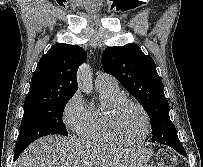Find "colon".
<instances>
[{
  "instance_id": "obj_1",
  "label": "colon",
  "mask_w": 203,
  "mask_h": 167,
  "mask_svg": "<svg viewBox=\"0 0 203 167\" xmlns=\"http://www.w3.org/2000/svg\"><path fill=\"white\" fill-rule=\"evenodd\" d=\"M157 162L158 167H176L175 157L171 153L164 150L157 154Z\"/></svg>"
}]
</instances>
